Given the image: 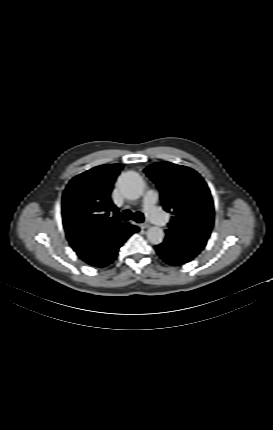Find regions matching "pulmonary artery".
<instances>
[{
  "instance_id": "pulmonary-artery-1",
  "label": "pulmonary artery",
  "mask_w": 273,
  "mask_h": 430,
  "mask_svg": "<svg viewBox=\"0 0 273 430\" xmlns=\"http://www.w3.org/2000/svg\"><path fill=\"white\" fill-rule=\"evenodd\" d=\"M158 193L154 189H150L144 196V209L148 217L157 225L164 226L165 218L162 210L157 206Z\"/></svg>"
}]
</instances>
